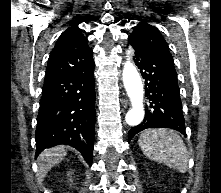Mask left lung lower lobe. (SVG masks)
I'll return each instance as SVG.
<instances>
[{"label":"left lung lower lobe","instance_id":"left-lung-lower-lobe-1","mask_svg":"<svg viewBox=\"0 0 221 193\" xmlns=\"http://www.w3.org/2000/svg\"><path fill=\"white\" fill-rule=\"evenodd\" d=\"M133 48L134 62L145 79L147 105L144 120L129 130L128 141L140 131L154 127L171 128L186 135L174 63L151 55L136 46Z\"/></svg>","mask_w":221,"mask_h":193}]
</instances>
